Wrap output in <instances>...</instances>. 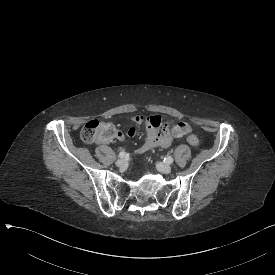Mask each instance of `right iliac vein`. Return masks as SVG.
I'll list each match as a JSON object with an SVG mask.
<instances>
[{
    "instance_id": "1",
    "label": "right iliac vein",
    "mask_w": 275,
    "mask_h": 275,
    "mask_svg": "<svg viewBox=\"0 0 275 275\" xmlns=\"http://www.w3.org/2000/svg\"><path fill=\"white\" fill-rule=\"evenodd\" d=\"M116 165L119 167V168H125L127 166V160L126 159H118L116 161Z\"/></svg>"
}]
</instances>
